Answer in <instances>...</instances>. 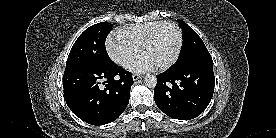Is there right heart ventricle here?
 <instances>
[{
	"label": "right heart ventricle",
	"mask_w": 276,
	"mask_h": 138,
	"mask_svg": "<svg viewBox=\"0 0 276 138\" xmlns=\"http://www.w3.org/2000/svg\"><path fill=\"white\" fill-rule=\"evenodd\" d=\"M162 21H150L127 26L118 31V35L129 40L139 49L147 39L152 30Z\"/></svg>",
	"instance_id": "e07e8e85"
}]
</instances>
